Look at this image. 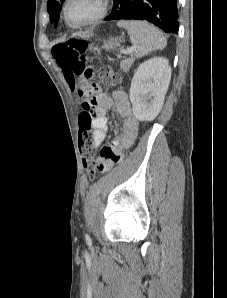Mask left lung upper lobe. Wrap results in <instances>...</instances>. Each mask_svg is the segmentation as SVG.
<instances>
[{"mask_svg":"<svg viewBox=\"0 0 227 298\" xmlns=\"http://www.w3.org/2000/svg\"><path fill=\"white\" fill-rule=\"evenodd\" d=\"M64 1L65 0H49L47 3V10L50 15V21L51 23H55V27L59 19L58 15L61 10V3H63Z\"/></svg>","mask_w":227,"mask_h":298,"instance_id":"5c2ea615","label":"left lung upper lobe"}]
</instances>
